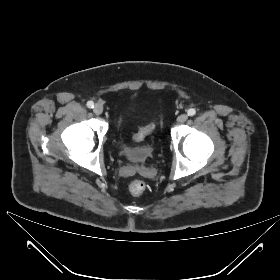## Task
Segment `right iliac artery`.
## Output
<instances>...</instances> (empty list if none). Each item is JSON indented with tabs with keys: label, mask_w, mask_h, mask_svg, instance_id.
<instances>
[{
	"label": "right iliac artery",
	"mask_w": 280,
	"mask_h": 280,
	"mask_svg": "<svg viewBox=\"0 0 280 280\" xmlns=\"http://www.w3.org/2000/svg\"><path fill=\"white\" fill-rule=\"evenodd\" d=\"M87 107H88V108H94V103H93V101H88V102H87Z\"/></svg>",
	"instance_id": "82829eb1"
}]
</instances>
